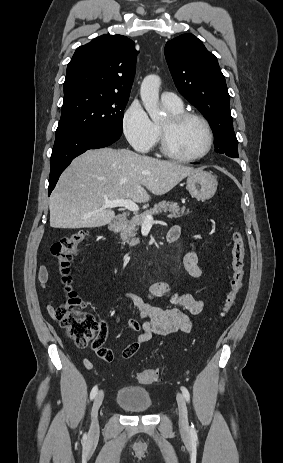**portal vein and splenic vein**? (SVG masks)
I'll return each mask as SVG.
<instances>
[{"instance_id":"portal-vein-and-splenic-vein-1","label":"portal vein and splenic vein","mask_w":283,"mask_h":463,"mask_svg":"<svg viewBox=\"0 0 283 463\" xmlns=\"http://www.w3.org/2000/svg\"><path fill=\"white\" fill-rule=\"evenodd\" d=\"M104 207H124L132 212L139 211L138 205L133 202L131 199H118V200H104ZM154 223V219L152 216L147 215L144 218V224L152 225Z\"/></svg>"}]
</instances>
